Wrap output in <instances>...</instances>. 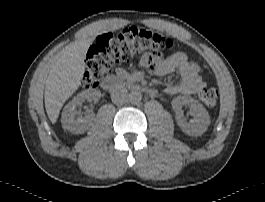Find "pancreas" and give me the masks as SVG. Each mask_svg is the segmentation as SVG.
Segmentation results:
<instances>
[{
	"instance_id": "1",
	"label": "pancreas",
	"mask_w": 265,
	"mask_h": 202,
	"mask_svg": "<svg viewBox=\"0 0 265 202\" xmlns=\"http://www.w3.org/2000/svg\"><path fill=\"white\" fill-rule=\"evenodd\" d=\"M124 79H125L128 83H132V82H134V79H133L132 75L129 74V73H126V74L124 75Z\"/></svg>"
}]
</instances>
